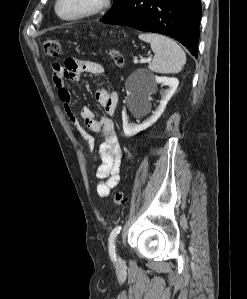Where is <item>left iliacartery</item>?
Instances as JSON below:
<instances>
[{"label": "left iliac artery", "instance_id": "44dca946", "mask_svg": "<svg viewBox=\"0 0 247 299\" xmlns=\"http://www.w3.org/2000/svg\"><path fill=\"white\" fill-rule=\"evenodd\" d=\"M122 227L121 226H116L111 234H110V237H109V253H110V256L111 258H114L115 257V246H114V241L117 237V235L120 233Z\"/></svg>", "mask_w": 247, "mask_h": 299}]
</instances>
